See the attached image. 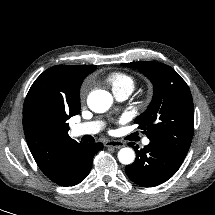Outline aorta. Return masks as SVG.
Returning <instances> with one entry per match:
<instances>
[{"label":"aorta","mask_w":215,"mask_h":215,"mask_svg":"<svg viewBox=\"0 0 215 215\" xmlns=\"http://www.w3.org/2000/svg\"><path fill=\"white\" fill-rule=\"evenodd\" d=\"M112 103V95L105 90H95L89 94L87 99L89 108L96 113L106 112ZM118 159L122 164H131L135 159V153L131 148H122L118 152Z\"/></svg>","instance_id":"aorta-1"}]
</instances>
